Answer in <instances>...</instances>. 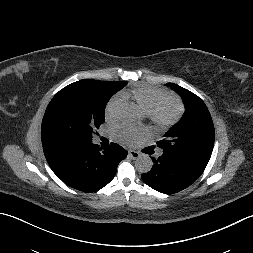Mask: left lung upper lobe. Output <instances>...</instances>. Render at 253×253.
I'll return each instance as SVG.
<instances>
[{"mask_svg":"<svg viewBox=\"0 0 253 253\" xmlns=\"http://www.w3.org/2000/svg\"><path fill=\"white\" fill-rule=\"evenodd\" d=\"M178 93L185 105V113L180 122L173 125L157 142L163 152H171L207 165L214 145V125L209 110L203 100L189 90L168 83Z\"/></svg>","mask_w":253,"mask_h":253,"instance_id":"5c2ea615","label":"left lung upper lobe"}]
</instances>
